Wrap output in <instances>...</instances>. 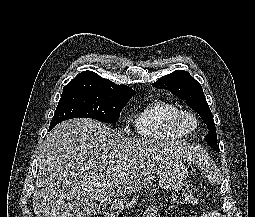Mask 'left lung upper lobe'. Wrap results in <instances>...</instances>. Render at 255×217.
<instances>
[{
    "label": "left lung upper lobe",
    "mask_w": 255,
    "mask_h": 217,
    "mask_svg": "<svg viewBox=\"0 0 255 217\" xmlns=\"http://www.w3.org/2000/svg\"><path fill=\"white\" fill-rule=\"evenodd\" d=\"M152 85L155 88L168 90L178 98L185 100L186 104L195 110L207 125L209 132L205 136L206 142L214 150L220 151L217 146V134L213 116L198 81L192 78L187 71L176 70L161 77Z\"/></svg>",
    "instance_id": "left-lung-upper-lobe-1"
}]
</instances>
